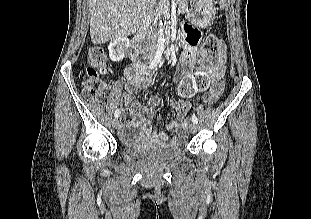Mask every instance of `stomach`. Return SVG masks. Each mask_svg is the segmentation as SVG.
<instances>
[{"label": "stomach", "instance_id": "stomach-1", "mask_svg": "<svg viewBox=\"0 0 311 219\" xmlns=\"http://www.w3.org/2000/svg\"><path fill=\"white\" fill-rule=\"evenodd\" d=\"M193 9L187 15L189 21L201 28L210 26L213 22V0H190Z\"/></svg>", "mask_w": 311, "mask_h": 219}]
</instances>
